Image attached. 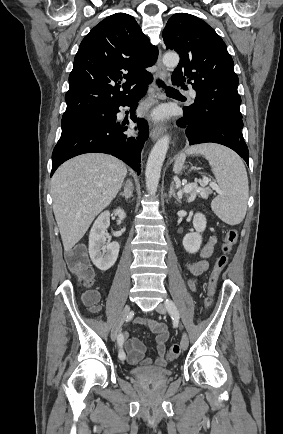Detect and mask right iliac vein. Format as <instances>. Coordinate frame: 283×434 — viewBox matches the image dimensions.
Here are the masks:
<instances>
[{"mask_svg": "<svg viewBox=\"0 0 283 434\" xmlns=\"http://www.w3.org/2000/svg\"><path fill=\"white\" fill-rule=\"evenodd\" d=\"M130 312H131L130 305H126L111 330L112 341H116V339L118 338V334L121 330V327L125 322L126 318L129 316Z\"/></svg>", "mask_w": 283, "mask_h": 434, "instance_id": "63e3f726", "label": "right iliac vein"}]
</instances>
